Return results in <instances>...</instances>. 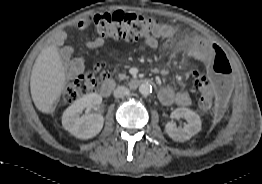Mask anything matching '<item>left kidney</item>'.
<instances>
[{
    "instance_id": "5707ae66",
    "label": "left kidney",
    "mask_w": 262,
    "mask_h": 184,
    "mask_svg": "<svg viewBox=\"0 0 262 184\" xmlns=\"http://www.w3.org/2000/svg\"><path fill=\"white\" fill-rule=\"evenodd\" d=\"M171 118H184L187 121L183 128H177L173 121H169L165 125V132L175 141L184 142L189 140L201 130L202 121L200 116L188 108L175 109L171 113Z\"/></svg>"
}]
</instances>
